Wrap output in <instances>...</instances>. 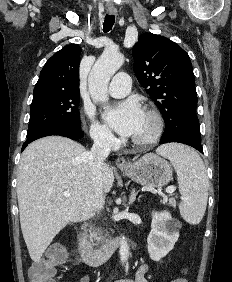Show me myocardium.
<instances>
[{
    "label": "myocardium",
    "mask_w": 232,
    "mask_h": 282,
    "mask_svg": "<svg viewBox=\"0 0 232 282\" xmlns=\"http://www.w3.org/2000/svg\"><path fill=\"white\" fill-rule=\"evenodd\" d=\"M145 113L153 122V130L146 137L132 138L131 142L136 146H148L157 142L164 131V119L158 110L152 107H148L146 108Z\"/></svg>",
    "instance_id": "f54148a6"
}]
</instances>
